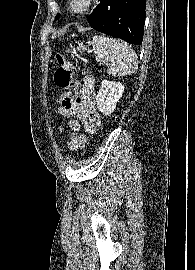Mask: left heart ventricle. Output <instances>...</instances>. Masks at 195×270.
<instances>
[{
    "mask_svg": "<svg viewBox=\"0 0 195 270\" xmlns=\"http://www.w3.org/2000/svg\"><path fill=\"white\" fill-rule=\"evenodd\" d=\"M86 0H75V8L81 9L85 5Z\"/></svg>",
    "mask_w": 195,
    "mask_h": 270,
    "instance_id": "b2bd125f",
    "label": "left heart ventricle"
}]
</instances>
